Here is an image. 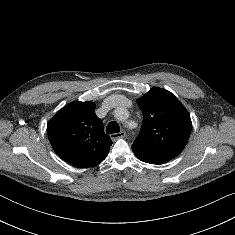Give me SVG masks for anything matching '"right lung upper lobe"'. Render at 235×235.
<instances>
[{
    "mask_svg": "<svg viewBox=\"0 0 235 235\" xmlns=\"http://www.w3.org/2000/svg\"><path fill=\"white\" fill-rule=\"evenodd\" d=\"M95 107L93 102H72L59 110L47 125L48 138L56 154L77 167L101 163L112 144L95 114Z\"/></svg>",
    "mask_w": 235,
    "mask_h": 235,
    "instance_id": "obj_1",
    "label": "right lung upper lobe"
}]
</instances>
